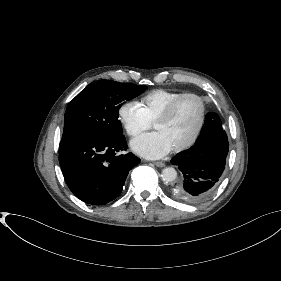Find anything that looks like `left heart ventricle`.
Wrapping results in <instances>:
<instances>
[{
  "label": "left heart ventricle",
  "mask_w": 281,
  "mask_h": 281,
  "mask_svg": "<svg viewBox=\"0 0 281 281\" xmlns=\"http://www.w3.org/2000/svg\"><path fill=\"white\" fill-rule=\"evenodd\" d=\"M200 117V104L194 98L183 100L165 120L154 125L172 148L186 142L194 133Z\"/></svg>",
  "instance_id": "1"
}]
</instances>
